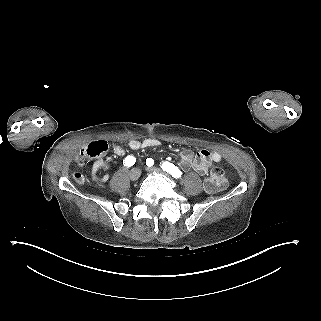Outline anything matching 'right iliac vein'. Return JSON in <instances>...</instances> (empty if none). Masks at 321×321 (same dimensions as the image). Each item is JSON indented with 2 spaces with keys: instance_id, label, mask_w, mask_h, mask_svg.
<instances>
[{
  "instance_id": "63e3f726",
  "label": "right iliac vein",
  "mask_w": 321,
  "mask_h": 321,
  "mask_svg": "<svg viewBox=\"0 0 321 321\" xmlns=\"http://www.w3.org/2000/svg\"><path fill=\"white\" fill-rule=\"evenodd\" d=\"M140 175H141V170L138 168H133L129 173V178L132 181H136L139 179Z\"/></svg>"
}]
</instances>
